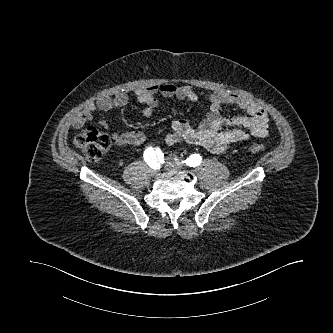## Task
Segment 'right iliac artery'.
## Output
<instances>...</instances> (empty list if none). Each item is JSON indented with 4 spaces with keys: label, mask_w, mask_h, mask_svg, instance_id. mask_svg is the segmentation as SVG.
Instances as JSON below:
<instances>
[{
    "label": "right iliac artery",
    "mask_w": 333,
    "mask_h": 333,
    "mask_svg": "<svg viewBox=\"0 0 333 333\" xmlns=\"http://www.w3.org/2000/svg\"><path fill=\"white\" fill-rule=\"evenodd\" d=\"M163 152L157 148L154 150L152 147L144 151V160L151 168H160V163L164 160Z\"/></svg>",
    "instance_id": "1"
}]
</instances>
